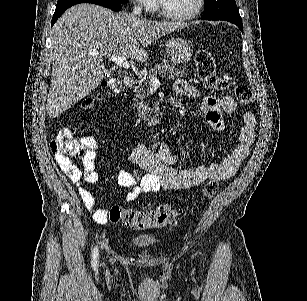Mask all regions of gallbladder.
<instances>
[{
	"mask_svg": "<svg viewBox=\"0 0 307 301\" xmlns=\"http://www.w3.org/2000/svg\"><path fill=\"white\" fill-rule=\"evenodd\" d=\"M103 76H105V78H109V76H112V72H108V70H103Z\"/></svg>",
	"mask_w": 307,
	"mask_h": 301,
	"instance_id": "obj_1",
	"label": "gallbladder"
}]
</instances>
